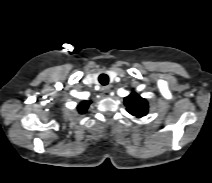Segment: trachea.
<instances>
[{
  "label": "trachea",
  "instance_id": "1",
  "mask_svg": "<svg viewBox=\"0 0 212 183\" xmlns=\"http://www.w3.org/2000/svg\"><path fill=\"white\" fill-rule=\"evenodd\" d=\"M100 84L107 85L109 83V77L107 74H101L98 78Z\"/></svg>",
  "mask_w": 212,
  "mask_h": 183
}]
</instances>
